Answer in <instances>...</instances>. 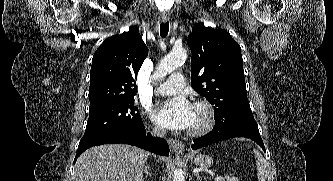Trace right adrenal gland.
Returning a JSON list of instances; mask_svg holds the SVG:
<instances>
[{
  "mask_svg": "<svg viewBox=\"0 0 333 181\" xmlns=\"http://www.w3.org/2000/svg\"><path fill=\"white\" fill-rule=\"evenodd\" d=\"M145 177L141 180V181H146L148 177H152V172H151V169L148 167L145 169Z\"/></svg>",
  "mask_w": 333,
  "mask_h": 181,
  "instance_id": "obj_1",
  "label": "right adrenal gland"
}]
</instances>
